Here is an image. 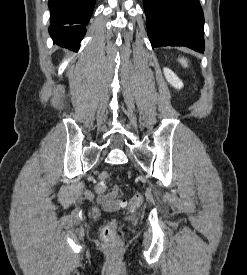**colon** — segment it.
Listing matches in <instances>:
<instances>
[{
	"instance_id": "colon-1",
	"label": "colon",
	"mask_w": 247,
	"mask_h": 275,
	"mask_svg": "<svg viewBox=\"0 0 247 275\" xmlns=\"http://www.w3.org/2000/svg\"><path fill=\"white\" fill-rule=\"evenodd\" d=\"M109 174L107 172L100 173L98 179L99 182L96 185V190L100 193H104L106 191V180L108 179ZM123 207L128 210H135L143 203V195L138 192L135 193L129 202H122ZM118 223L116 221H111L106 224L102 229V238L108 245H117L118 243Z\"/></svg>"
}]
</instances>
